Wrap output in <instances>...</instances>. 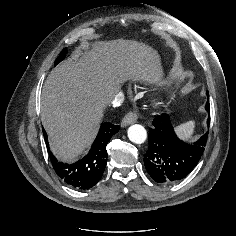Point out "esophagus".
Listing matches in <instances>:
<instances>
[{"mask_svg":"<svg viewBox=\"0 0 236 236\" xmlns=\"http://www.w3.org/2000/svg\"><path fill=\"white\" fill-rule=\"evenodd\" d=\"M137 121V115L134 112H128L121 121V126L126 127Z\"/></svg>","mask_w":236,"mask_h":236,"instance_id":"esophagus-1","label":"esophagus"}]
</instances>
